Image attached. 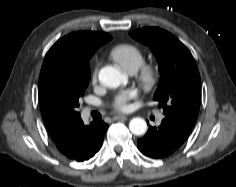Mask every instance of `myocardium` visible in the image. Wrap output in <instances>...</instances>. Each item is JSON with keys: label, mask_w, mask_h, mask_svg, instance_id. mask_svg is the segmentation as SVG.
<instances>
[{"label": "myocardium", "mask_w": 236, "mask_h": 187, "mask_svg": "<svg viewBox=\"0 0 236 187\" xmlns=\"http://www.w3.org/2000/svg\"><path fill=\"white\" fill-rule=\"evenodd\" d=\"M160 76L159 68L154 64H143L136 72V79L146 92L152 91L157 87Z\"/></svg>", "instance_id": "myocardium-1"}]
</instances>
